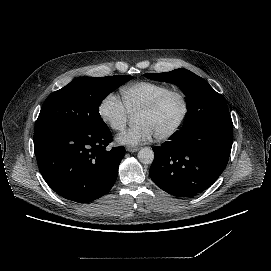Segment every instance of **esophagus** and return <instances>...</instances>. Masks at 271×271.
I'll use <instances>...</instances> for the list:
<instances>
[{"instance_id": "obj_1", "label": "esophagus", "mask_w": 271, "mask_h": 271, "mask_svg": "<svg viewBox=\"0 0 271 271\" xmlns=\"http://www.w3.org/2000/svg\"><path fill=\"white\" fill-rule=\"evenodd\" d=\"M126 150L128 152H137L139 150V147H126Z\"/></svg>"}]
</instances>
